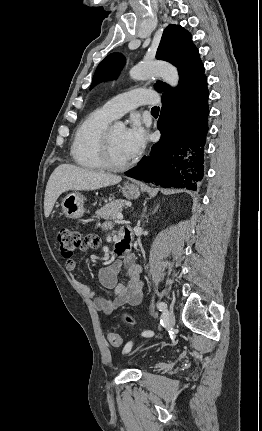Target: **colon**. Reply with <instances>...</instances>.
<instances>
[{
	"label": "colon",
	"mask_w": 262,
	"mask_h": 431,
	"mask_svg": "<svg viewBox=\"0 0 262 431\" xmlns=\"http://www.w3.org/2000/svg\"><path fill=\"white\" fill-rule=\"evenodd\" d=\"M57 240L62 256L68 260L85 249L97 247L100 242L96 235H84L80 230L69 228L61 229L57 234ZM127 321L130 324L135 323L131 317H128ZM108 342L111 346L118 347L122 345L123 339L118 333L111 332L108 334Z\"/></svg>",
	"instance_id": "5ec220e1"
}]
</instances>
